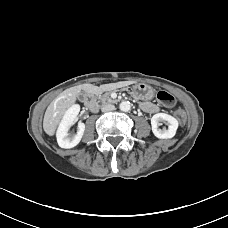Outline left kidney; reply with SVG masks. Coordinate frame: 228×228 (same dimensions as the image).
Returning a JSON list of instances; mask_svg holds the SVG:
<instances>
[{
  "label": "left kidney",
  "instance_id": "obj_1",
  "mask_svg": "<svg viewBox=\"0 0 228 228\" xmlns=\"http://www.w3.org/2000/svg\"><path fill=\"white\" fill-rule=\"evenodd\" d=\"M167 122L168 128H158L160 122ZM178 121L171 115L166 113H157L151 118V126L153 134L159 139H170L175 136L178 128Z\"/></svg>",
  "mask_w": 228,
  "mask_h": 228
}]
</instances>
